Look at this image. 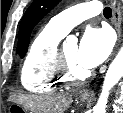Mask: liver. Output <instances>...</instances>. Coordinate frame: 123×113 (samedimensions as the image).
I'll use <instances>...</instances> for the list:
<instances>
[{"label":"liver","instance_id":"obj_1","mask_svg":"<svg viewBox=\"0 0 123 113\" xmlns=\"http://www.w3.org/2000/svg\"><path fill=\"white\" fill-rule=\"evenodd\" d=\"M11 100L35 113H64L72 103V95H19L14 96Z\"/></svg>","mask_w":123,"mask_h":113}]
</instances>
